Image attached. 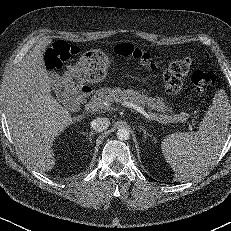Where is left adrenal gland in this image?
Segmentation results:
<instances>
[{
    "instance_id": "left-adrenal-gland-1",
    "label": "left adrenal gland",
    "mask_w": 231,
    "mask_h": 231,
    "mask_svg": "<svg viewBox=\"0 0 231 231\" xmlns=\"http://www.w3.org/2000/svg\"><path fill=\"white\" fill-rule=\"evenodd\" d=\"M139 128H140L141 131H143L144 140H146L147 136L152 137V135L149 134V133L147 132V130H146L142 125H139Z\"/></svg>"
}]
</instances>
